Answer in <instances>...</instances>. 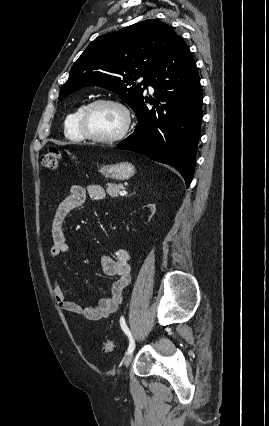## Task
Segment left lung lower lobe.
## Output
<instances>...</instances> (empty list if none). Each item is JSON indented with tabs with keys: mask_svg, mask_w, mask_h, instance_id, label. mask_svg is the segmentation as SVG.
Listing matches in <instances>:
<instances>
[{
	"mask_svg": "<svg viewBox=\"0 0 269 426\" xmlns=\"http://www.w3.org/2000/svg\"><path fill=\"white\" fill-rule=\"evenodd\" d=\"M156 93L154 107L145 98L135 109L134 133L120 142V149L141 153L175 167L189 187L202 120V92L195 60L179 36L149 76Z\"/></svg>",
	"mask_w": 269,
	"mask_h": 426,
	"instance_id": "left-lung-lower-lobe-1",
	"label": "left lung lower lobe"
}]
</instances>
